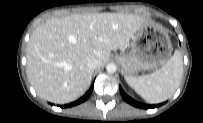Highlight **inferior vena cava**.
Instances as JSON below:
<instances>
[{"instance_id": "inferior-vena-cava-1", "label": "inferior vena cava", "mask_w": 203, "mask_h": 123, "mask_svg": "<svg viewBox=\"0 0 203 123\" xmlns=\"http://www.w3.org/2000/svg\"><path fill=\"white\" fill-rule=\"evenodd\" d=\"M86 66L93 71L100 67V61L97 58H89L86 60Z\"/></svg>"}]
</instances>
